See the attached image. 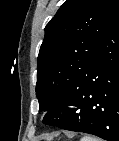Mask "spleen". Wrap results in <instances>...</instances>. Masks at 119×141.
<instances>
[{
    "label": "spleen",
    "instance_id": "obj_1",
    "mask_svg": "<svg viewBox=\"0 0 119 141\" xmlns=\"http://www.w3.org/2000/svg\"><path fill=\"white\" fill-rule=\"evenodd\" d=\"M80 141H99L97 138L95 137H91V136H84L80 139Z\"/></svg>",
    "mask_w": 119,
    "mask_h": 141
}]
</instances>
